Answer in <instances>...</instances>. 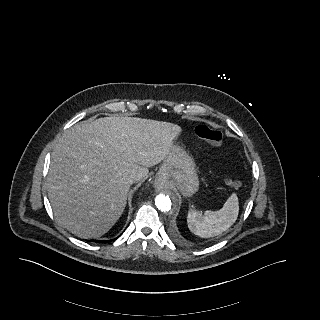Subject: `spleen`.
<instances>
[{"instance_id":"3e777b00","label":"spleen","mask_w":320,"mask_h":320,"mask_svg":"<svg viewBox=\"0 0 320 320\" xmlns=\"http://www.w3.org/2000/svg\"><path fill=\"white\" fill-rule=\"evenodd\" d=\"M239 202L236 194H232L217 211L207 210L204 213L190 209L187 223L191 232L202 238L213 237L229 229L237 220Z\"/></svg>"}]
</instances>
